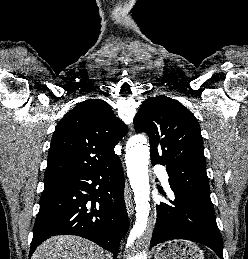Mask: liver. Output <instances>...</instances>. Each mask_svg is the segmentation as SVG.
<instances>
[{
	"instance_id": "obj_1",
	"label": "liver",
	"mask_w": 248,
	"mask_h": 259,
	"mask_svg": "<svg viewBox=\"0 0 248 259\" xmlns=\"http://www.w3.org/2000/svg\"><path fill=\"white\" fill-rule=\"evenodd\" d=\"M31 259H105L104 251L78 236H53L39 245Z\"/></svg>"
}]
</instances>
